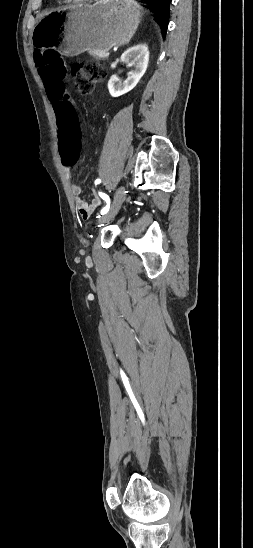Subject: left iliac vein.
<instances>
[{"label": "left iliac vein", "mask_w": 253, "mask_h": 548, "mask_svg": "<svg viewBox=\"0 0 253 548\" xmlns=\"http://www.w3.org/2000/svg\"><path fill=\"white\" fill-rule=\"evenodd\" d=\"M125 197V187L124 186H120L117 190H116V193H115V197H114V202L110 208V210L104 214L101 218H99L98 222L99 223H104V222H107L109 221L110 219H112L118 212L121 204H122V201Z\"/></svg>", "instance_id": "obj_1"}]
</instances>
